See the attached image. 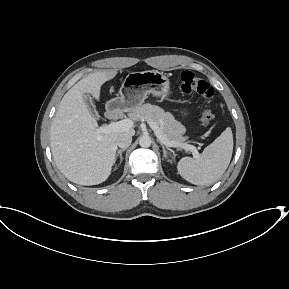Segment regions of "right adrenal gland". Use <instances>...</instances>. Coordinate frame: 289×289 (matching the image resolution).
I'll use <instances>...</instances> for the list:
<instances>
[{"instance_id":"obj_1","label":"right adrenal gland","mask_w":289,"mask_h":289,"mask_svg":"<svg viewBox=\"0 0 289 289\" xmlns=\"http://www.w3.org/2000/svg\"><path fill=\"white\" fill-rule=\"evenodd\" d=\"M126 151V149H120L117 151L116 155H115V160L119 157L120 158V162H119V165L121 164L123 158H122V153Z\"/></svg>"}]
</instances>
